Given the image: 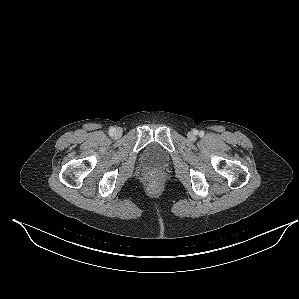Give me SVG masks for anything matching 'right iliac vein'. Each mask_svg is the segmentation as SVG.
<instances>
[{"label":"right iliac vein","instance_id":"right-iliac-vein-1","mask_svg":"<svg viewBox=\"0 0 299 299\" xmlns=\"http://www.w3.org/2000/svg\"><path fill=\"white\" fill-rule=\"evenodd\" d=\"M121 134H122V133H121V131H120V130H117V131L115 132V136H116V137H120V136H121Z\"/></svg>","mask_w":299,"mask_h":299}]
</instances>
